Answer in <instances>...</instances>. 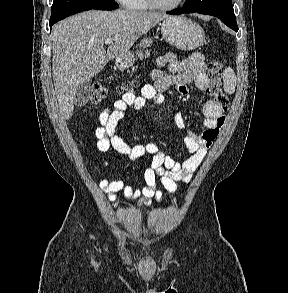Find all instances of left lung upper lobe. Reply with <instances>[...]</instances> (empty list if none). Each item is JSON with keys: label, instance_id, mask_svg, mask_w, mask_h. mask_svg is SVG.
Segmentation results:
<instances>
[{"label": "left lung upper lobe", "instance_id": "left-lung-upper-lobe-1", "mask_svg": "<svg viewBox=\"0 0 288 293\" xmlns=\"http://www.w3.org/2000/svg\"><path fill=\"white\" fill-rule=\"evenodd\" d=\"M186 8L212 10L228 16H235L231 0H186Z\"/></svg>", "mask_w": 288, "mask_h": 293}]
</instances>
